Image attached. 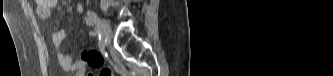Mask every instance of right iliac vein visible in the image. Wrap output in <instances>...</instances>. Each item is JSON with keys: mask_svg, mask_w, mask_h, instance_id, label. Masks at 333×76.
I'll return each instance as SVG.
<instances>
[{"mask_svg": "<svg viewBox=\"0 0 333 76\" xmlns=\"http://www.w3.org/2000/svg\"><path fill=\"white\" fill-rule=\"evenodd\" d=\"M100 27L102 31V36L105 42L109 43L112 39V30L109 23L105 19L100 20Z\"/></svg>", "mask_w": 333, "mask_h": 76, "instance_id": "obj_1", "label": "right iliac vein"}]
</instances>
